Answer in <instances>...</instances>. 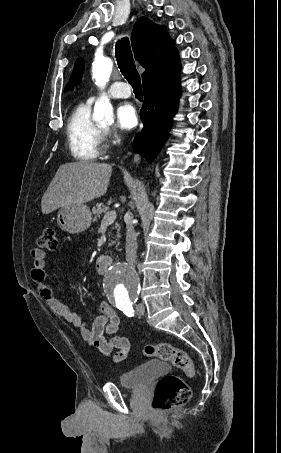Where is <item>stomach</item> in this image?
<instances>
[{"label":"stomach","instance_id":"stomach-1","mask_svg":"<svg viewBox=\"0 0 281 453\" xmlns=\"http://www.w3.org/2000/svg\"><path fill=\"white\" fill-rule=\"evenodd\" d=\"M92 216L89 206L86 204H66L61 206L57 214V224H59L62 231L66 233H83L89 229Z\"/></svg>","mask_w":281,"mask_h":453}]
</instances>
